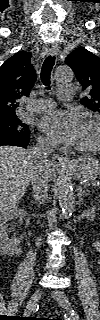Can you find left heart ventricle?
Wrapping results in <instances>:
<instances>
[{"instance_id":"left-heart-ventricle-1","label":"left heart ventricle","mask_w":100,"mask_h":320,"mask_svg":"<svg viewBox=\"0 0 100 320\" xmlns=\"http://www.w3.org/2000/svg\"><path fill=\"white\" fill-rule=\"evenodd\" d=\"M95 139V131L89 124L82 123L76 146L90 145Z\"/></svg>"}]
</instances>
